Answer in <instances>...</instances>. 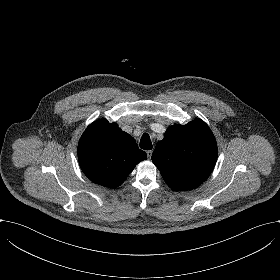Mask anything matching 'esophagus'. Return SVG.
<instances>
[{
    "instance_id": "1",
    "label": "esophagus",
    "mask_w": 280,
    "mask_h": 280,
    "mask_svg": "<svg viewBox=\"0 0 280 280\" xmlns=\"http://www.w3.org/2000/svg\"><path fill=\"white\" fill-rule=\"evenodd\" d=\"M146 153H147L148 159H150L152 156V150H147Z\"/></svg>"
}]
</instances>
